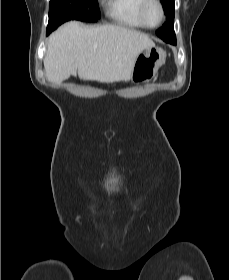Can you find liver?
Masks as SVG:
<instances>
[{"instance_id":"obj_1","label":"liver","mask_w":229,"mask_h":280,"mask_svg":"<svg viewBox=\"0 0 229 280\" xmlns=\"http://www.w3.org/2000/svg\"><path fill=\"white\" fill-rule=\"evenodd\" d=\"M155 43L145 34L119 25L59 27L48 39L46 79L59 84L71 75L85 81H129L136 58Z\"/></svg>"}]
</instances>
